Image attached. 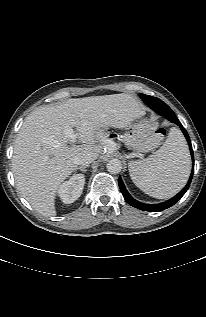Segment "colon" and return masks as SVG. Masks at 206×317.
<instances>
[{"label":"colon","mask_w":206,"mask_h":317,"mask_svg":"<svg viewBox=\"0 0 206 317\" xmlns=\"http://www.w3.org/2000/svg\"><path fill=\"white\" fill-rule=\"evenodd\" d=\"M149 127L153 131V139L155 142H159L163 139L165 136V129L162 127H158L156 124L151 123L149 124Z\"/></svg>","instance_id":"5ec220e1"}]
</instances>
